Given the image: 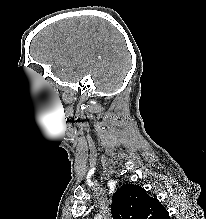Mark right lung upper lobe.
<instances>
[{
    "mask_svg": "<svg viewBox=\"0 0 206 219\" xmlns=\"http://www.w3.org/2000/svg\"><path fill=\"white\" fill-rule=\"evenodd\" d=\"M112 199L113 219H170L163 205L140 186L126 184L114 193Z\"/></svg>",
    "mask_w": 206,
    "mask_h": 219,
    "instance_id": "right-lung-upper-lobe-1",
    "label": "right lung upper lobe"
}]
</instances>
